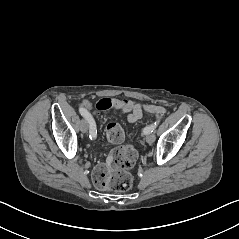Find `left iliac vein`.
<instances>
[{
  "mask_svg": "<svg viewBox=\"0 0 239 239\" xmlns=\"http://www.w3.org/2000/svg\"><path fill=\"white\" fill-rule=\"evenodd\" d=\"M156 139V136L154 134H147L146 136V141L149 143V144H152Z\"/></svg>",
  "mask_w": 239,
  "mask_h": 239,
  "instance_id": "4c4485c4",
  "label": "left iliac vein"
}]
</instances>
